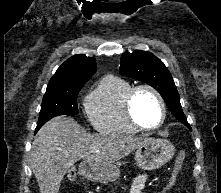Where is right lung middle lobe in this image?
Instances as JSON below:
<instances>
[{"instance_id":"1","label":"right lung middle lobe","mask_w":221,"mask_h":193,"mask_svg":"<svg viewBox=\"0 0 221 193\" xmlns=\"http://www.w3.org/2000/svg\"><path fill=\"white\" fill-rule=\"evenodd\" d=\"M82 87L83 85L46 90L37 126H42L55 116L77 115V96Z\"/></svg>"}]
</instances>
